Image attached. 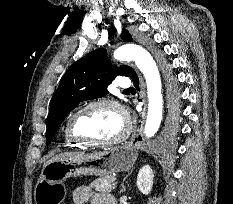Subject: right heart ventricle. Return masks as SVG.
Returning <instances> with one entry per match:
<instances>
[{
  "label": "right heart ventricle",
  "instance_id": "e07e8e85",
  "mask_svg": "<svg viewBox=\"0 0 233 204\" xmlns=\"http://www.w3.org/2000/svg\"><path fill=\"white\" fill-rule=\"evenodd\" d=\"M64 140H65V143L67 146L69 147H72V148H82L83 146H85V144L77 141V140H74L68 133V130H67V126L65 128V131H64Z\"/></svg>",
  "mask_w": 233,
  "mask_h": 204
}]
</instances>
